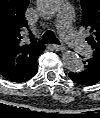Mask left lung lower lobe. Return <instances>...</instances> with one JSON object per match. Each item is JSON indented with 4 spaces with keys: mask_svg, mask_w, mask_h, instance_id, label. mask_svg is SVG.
Listing matches in <instances>:
<instances>
[{
    "mask_svg": "<svg viewBox=\"0 0 100 118\" xmlns=\"http://www.w3.org/2000/svg\"><path fill=\"white\" fill-rule=\"evenodd\" d=\"M84 70L81 72H70L69 77L76 83L82 85H93L100 81V60L91 57L85 61Z\"/></svg>",
    "mask_w": 100,
    "mask_h": 118,
    "instance_id": "obj_1",
    "label": "left lung lower lobe"
}]
</instances>
